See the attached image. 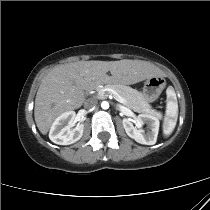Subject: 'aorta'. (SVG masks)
<instances>
[{
    "instance_id": "762f6f07",
    "label": "aorta",
    "mask_w": 210,
    "mask_h": 210,
    "mask_svg": "<svg viewBox=\"0 0 210 210\" xmlns=\"http://www.w3.org/2000/svg\"><path fill=\"white\" fill-rule=\"evenodd\" d=\"M101 107H102V109H108L109 108V103L107 102V101H103L102 103H101Z\"/></svg>"
}]
</instances>
